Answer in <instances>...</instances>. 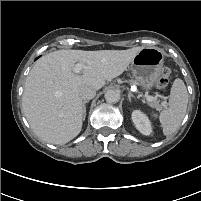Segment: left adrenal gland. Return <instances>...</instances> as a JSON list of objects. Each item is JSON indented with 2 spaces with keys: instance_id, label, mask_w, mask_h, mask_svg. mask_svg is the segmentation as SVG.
Returning a JSON list of instances; mask_svg holds the SVG:
<instances>
[{
  "instance_id": "obj_1",
  "label": "left adrenal gland",
  "mask_w": 201,
  "mask_h": 201,
  "mask_svg": "<svg viewBox=\"0 0 201 201\" xmlns=\"http://www.w3.org/2000/svg\"><path fill=\"white\" fill-rule=\"evenodd\" d=\"M131 98H134L133 94L129 91L128 92V101L131 102Z\"/></svg>"
}]
</instances>
